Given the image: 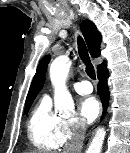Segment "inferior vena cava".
I'll use <instances>...</instances> for the list:
<instances>
[{
	"label": "inferior vena cava",
	"mask_w": 130,
	"mask_h": 153,
	"mask_svg": "<svg viewBox=\"0 0 130 153\" xmlns=\"http://www.w3.org/2000/svg\"><path fill=\"white\" fill-rule=\"evenodd\" d=\"M86 133V124L80 121L76 124L71 140L64 148L63 153H80Z\"/></svg>",
	"instance_id": "602c4592"
}]
</instances>
